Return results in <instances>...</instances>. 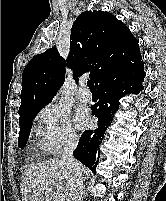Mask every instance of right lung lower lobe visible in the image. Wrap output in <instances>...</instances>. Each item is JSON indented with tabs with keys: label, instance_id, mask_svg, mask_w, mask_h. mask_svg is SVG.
<instances>
[{
	"label": "right lung lower lobe",
	"instance_id": "right-lung-lower-lobe-1",
	"mask_svg": "<svg viewBox=\"0 0 166 201\" xmlns=\"http://www.w3.org/2000/svg\"><path fill=\"white\" fill-rule=\"evenodd\" d=\"M143 65L141 58L128 67L106 74L96 86L99 102L92 107V111L98 117V128L84 131L73 153L77 160L93 172L96 170L97 147L119 109V99L127 93L138 94L142 90V81L145 78Z\"/></svg>",
	"mask_w": 166,
	"mask_h": 201
}]
</instances>
